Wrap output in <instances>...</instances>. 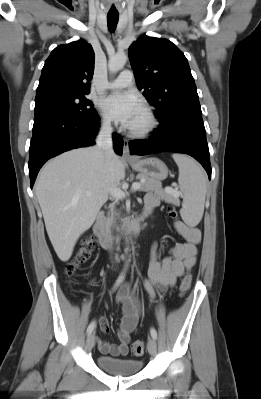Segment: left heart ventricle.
<instances>
[{"label": "left heart ventricle", "instance_id": "obj_1", "mask_svg": "<svg viewBox=\"0 0 261 399\" xmlns=\"http://www.w3.org/2000/svg\"><path fill=\"white\" fill-rule=\"evenodd\" d=\"M145 123V117L144 114L142 113L134 122V124L131 126V128H140L144 125Z\"/></svg>", "mask_w": 261, "mask_h": 399}]
</instances>
